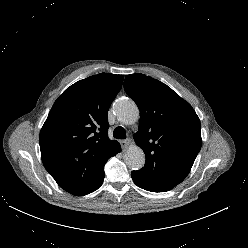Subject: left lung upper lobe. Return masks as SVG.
<instances>
[{"instance_id": "1", "label": "left lung upper lobe", "mask_w": 248, "mask_h": 248, "mask_svg": "<svg viewBox=\"0 0 248 248\" xmlns=\"http://www.w3.org/2000/svg\"><path fill=\"white\" fill-rule=\"evenodd\" d=\"M124 89L140 110L134 140L146 163L138 173L147 189L169 191L186 178L201 149L199 117L170 87L149 76L126 75Z\"/></svg>"}]
</instances>
